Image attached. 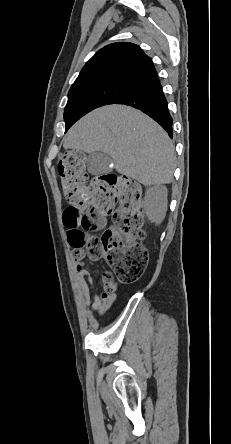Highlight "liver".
<instances>
[{
    "instance_id": "1",
    "label": "liver",
    "mask_w": 231,
    "mask_h": 444,
    "mask_svg": "<svg viewBox=\"0 0 231 444\" xmlns=\"http://www.w3.org/2000/svg\"><path fill=\"white\" fill-rule=\"evenodd\" d=\"M63 147L110 155L118 173L145 186L173 180L176 156L171 139L154 120L129 106L91 111L71 127Z\"/></svg>"
}]
</instances>
